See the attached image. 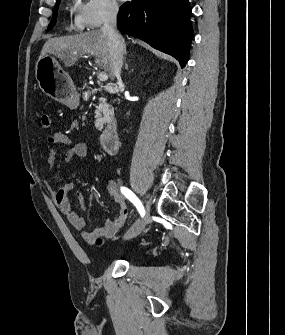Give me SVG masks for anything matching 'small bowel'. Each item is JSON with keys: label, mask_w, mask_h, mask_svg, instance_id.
Here are the masks:
<instances>
[{"label": "small bowel", "mask_w": 285, "mask_h": 335, "mask_svg": "<svg viewBox=\"0 0 285 335\" xmlns=\"http://www.w3.org/2000/svg\"><path fill=\"white\" fill-rule=\"evenodd\" d=\"M51 144L65 145L67 148L64 153V160L70 162L74 158H85L88 155V146L64 132H56L48 137ZM56 160V152L50 149L47 155L46 164L52 166ZM46 188L59 211L68 220V222L76 229L82 232V237L87 243L93 242L98 237L111 238L116 232L122 228L129 216V208L124 197L119 193L113 181H109L107 190L110 197L113 199L119 209L118 216L107 218L103 224L92 231L85 230V219L79 215L72 207L67 198L69 191L73 189L72 183H65L59 190H55L48 182L45 183ZM77 198L84 206V196L81 192H77Z\"/></svg>", "instance_id": "obj_1"}]
</instances>
